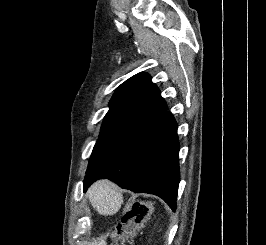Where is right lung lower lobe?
I'll use <instances>...</instances> for the list:
<instances>
[{
  "label": "right lung lower lobe",
  "mask_w": 266,
  "mask_h": 245,
  "mask_svg": "<svg viewBox=\"0 0 266 245\" xmlns=\"http://www.w3.org/2000/svg\"><path fill=\"white\" fill-rule=\"evenodd\" d=\"M177 123L170 112L145 121L118 146L87 169L84 192L109 178L135 193L162 198L175 211L180 181Z\"/></svg>",
  "instance_id": "98d812e1"
}]
</instances>
